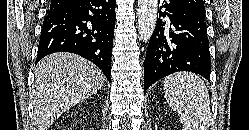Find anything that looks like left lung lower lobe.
I'll return each instance as SVG.
<instances>
[{
  "label": "left lung lower lobe",
  "instance_id": "0a47b994",
  "mask_svg": "<svg viewBox=\"0 0 249 130\" xmlns=\"http://www.w3.org/2000/svg\"><path fill=\"white\" fill-rule=\"evenodd\" d=\"M161 8L166 11L162 12ZM161 8L144 61V93L156 81L178 71L194 72L210 80L204 14L188 8L181 0H164ZM166 16L169 22L161 19Z\"/></svg>",
  "mask_w": 249,
  "mask_h": 130
}]
</instances>
